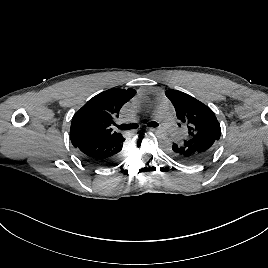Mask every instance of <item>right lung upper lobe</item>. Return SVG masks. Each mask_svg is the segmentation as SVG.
Returning a JSON list of instances; mask_svg holds the SVG:
<instances>
[{
  "label": "right lung upper lobe",
  "mask_w": 268,
  "mask_h": 268,
  "mask_svg": "<svg viewBox=\"0 0 268 268\" xmlns=\"http://www.w3.org/2000/svg\"><path fill=\"white\" fill-rule=\"evenodd\" d=\"M136 91L111 88L91 98L73 116L70 139L74 146L84 142L113 140L122 136L112 129L113 119Z\"/></svg>",
  "instance_id": "right-lung-upper-lobe-1"
}]
</instances>
